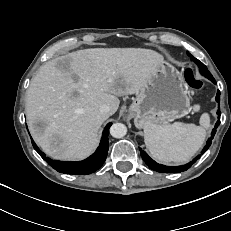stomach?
<instances>
[{"instance_id":"1","label":"stomach","mask_w":231,"mask_h":231,"mask_svg":"<svg viewBox=\"0 0 231 231\" xmlns=\"http://www.w3.org/2000/svg\"><path fill=\"white\" fill-rule=\"evenodd\" d=\"M190 101L180 72L163 62L129 107L137 128L149 124L164 125L188 114Z\"/></svg>"}]
</instances>
